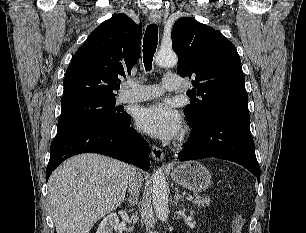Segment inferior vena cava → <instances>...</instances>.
Returning <instances> with one entry per match:
<instances>
[{
  "instance_id": "obj_1",
  "label": "inferior vena cava",
  "mask_w": 306,
  "mask_h": 233,
  "mask_svg": "<svg viewBox=\"0 0 306 233\" xmlns=\"http://www.w3.org/2000/svg\"><path fill=\"white\" fill-rule=\"evenodd\" d=\"M141 174L136 169H133L131 174V179L129 182V192L133 197H136L139 195V190L141 187Z\"/></svg>"
}]
</instances>
